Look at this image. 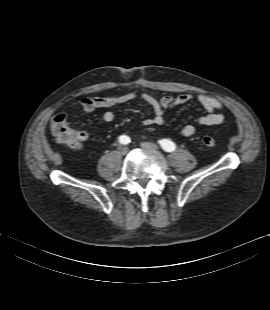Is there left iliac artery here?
I'll list each match as a JSON object with an SVG mask.
<instances>
[{"mask_svg":"<svg viewBox=\"0 0 270 310\" xmlns=\"http://www.w3.org/2000/svg\"><path fill=\"white\" fill-rule=\"evenodd\" d=\"M159 144L162 147V149H164L167 152H172L176 149L175 143L167 139L159 141Z\"/></svg>","mask_w":270,"mask_h":310,"instance_id":"1","label":"left iliac artery"}]
</instances>
